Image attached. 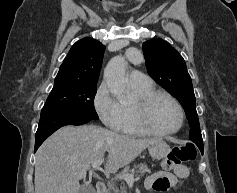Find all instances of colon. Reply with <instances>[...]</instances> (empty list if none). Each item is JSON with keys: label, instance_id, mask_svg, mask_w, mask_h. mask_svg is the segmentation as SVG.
I'll return each mask as SVG.
<instances>
[{"label": "colon", "instance_id": "1", "mask_svg": "<svg viewBox=\"0 0 237 193\" xmlns=\"http://www.w3.org/2000/svg\"><path fill=\"white\" fill-rule=\"evenodd\" d=\"M196 158V149L193 144L175 146L167 158L162 162V168L165 171L175 170L184 163L190 162Z\"/></svg>", "mask_w": 237, "mask_h": 193}]
</instances>
